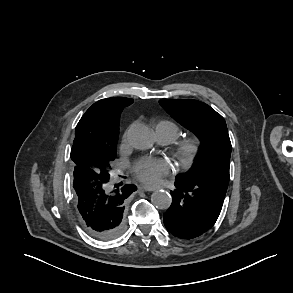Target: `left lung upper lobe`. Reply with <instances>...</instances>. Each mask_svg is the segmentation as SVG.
<instances>
[{
  "instance_id": "1",
  "label": "left lung upper lobe",
  "mask_w": 293,
  "mask_h": 293,
  "mask_svg": "<svg viewBox=\"0 0 293 293\" xmlns=\"http://www.w3.org/2000/svg\"><path fill=\"white\" fill-rule=\"evenodd\" d=\"M160 104L201 142L196 164L176 178L227 188L231 142L224 118L210 106L197 100L161 99Z\"/></svg>"
}]
</instances>
